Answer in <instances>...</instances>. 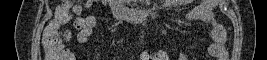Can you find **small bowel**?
<instances>
[{"instance_id":"small-bowel-1","label":"small bowel","mask_w":267,"mask_h":60,"mask_svg":"<svg viewBox=\"0 0 267 60\" xmlns=\"http://www.w3.org/2000/svg\"><path fill=\"white\" fill-rule=\"evenodd\" d=\"M95 0H89L83 4H74L71 5L72 10L77 13L79 16L75 19L74 23L77 21L82 22V27L77 29L76 34L77 42L83 44L88 42L90 39L93 29L96 25V18L92 15L83 16L84 8H89L94 5ZM188 1L184 0H173L167 1L165 6H171L173 4L186 3ZM218 4L217 0H202L198 5L187 14V19L190 21H203L207 22L211 26V44L208 46L207 52L210 56L216 58L217 60H226L227 51L225 48L226 45V30L224 26L215 18L213 9ZM75 28V25H74ZM56 29V23L53 21L51 26L47 29L54 30ZM71 37V30L68 29L65 32V39L69 40ZM188 52L184 50L179 55V60H187ZM140 60H169V55L166 51H157L155 53L146 51L141 54Z\"/></svg>"}]
</instances>
